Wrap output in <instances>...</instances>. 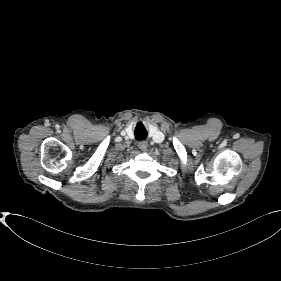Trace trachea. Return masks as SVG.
<instances>
[{
    "label": "trachea",
    "mask_w": 281,
    "mask_h": 281,
    "mask_svg": "<svg viewBox=\"0 0 281 281\" xmlns=\"http://www.w3.org/2000/svg\"><path fill=\"white\" fill-rule=\"evenodd\" d=\"M135 138L136 140H145L147 138V131L144 127L139 128L137 127L135 130Z\"/></svg>",
    "instance_id": "obj_1"
}]
</instances>
